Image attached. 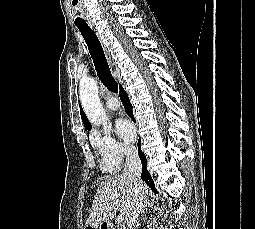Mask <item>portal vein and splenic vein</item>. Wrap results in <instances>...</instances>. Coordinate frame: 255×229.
Segmentation results:
<instances>
[{"instance_id": "18ae733b", "label": "portal vein and splenic vein", "mask_w": 255, "mask_h": 229, "mask_svg": "<svg viewBox=\"0 0 255 229\" xmlns=\"http://www.w3.org/2000/svg\"><path fill=\"white\" fill-rule=\"evenodd\" d=\"M118 197H119V196L116 195V196H113L112 199H117ZM117 221H118V222H123V221H124V216H123V214H119V215L117 216Z\"/></svg>"}]
</instances>
